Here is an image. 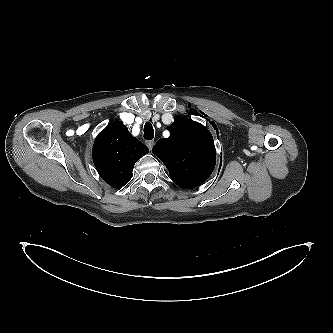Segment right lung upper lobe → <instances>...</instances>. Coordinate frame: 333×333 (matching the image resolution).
I'll use <instances>...</instances> for the list:
<instances>
[{
    "label": "right lung upper lobe",
    "instance_id": "cb5924a9",
    "mask_svg": "<svg viewBox=\"0 0 333 333\" xmlns=\"http://www.w3.org/2000/svg\"><path fill=\"white\" fill-rule=\"evenodd\" d=\"M148 152L121 121H114L97 136L92 156L101 178L120 188L130 180L134 164Z\"/></svg>",
    "mask_w": 333,
    "mask_h": 333
}]
</instances>
